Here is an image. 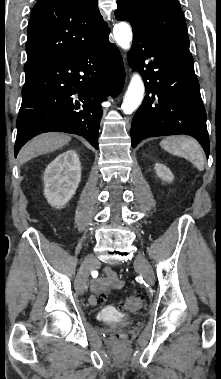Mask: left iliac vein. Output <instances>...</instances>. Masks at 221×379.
Instances as JSON below:
<instances>
[{"label": "left iliac vein", "instance_id": "4c4485c4", "mask_svg": "<svg viewBox=\"0 0 221 379\" xmlns=\"http://www.w3.org/2000/svg\"><path fill=\"white\" fill-rule=\"evenodd\" d=\"M134 266L140 272V274H142L147 283H149L150 285L154 284L153 269L143 254L139 253L137 255L134 262Z\"/></svg>", "mask_w": 221, "mask_h": 379}]
</instances>
